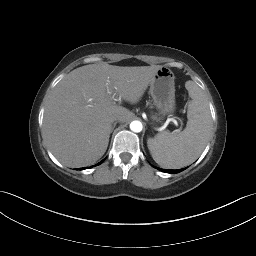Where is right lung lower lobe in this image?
Returning a JSON list of instances; mask_svg holds the SVG:
<instances>
[{
	"label": "right lung lower lobe",
	"mask_w": 256,
	"mask_h": 256,
	"mask_svg": "<svg viewBox=\"0 0 256 256\" xmlns=\"http://www.w3.org/2000/svg\"><path fill=\"white\" fill-rule=\"evenodd\" d=\"M103 161H104V160H102L101 162H99L97 165L101 164ZM97 165H96V166H97ZM80 169H84V168H80Z\"/></svg>",
	"instance_id": "1"
}]
</instances>
